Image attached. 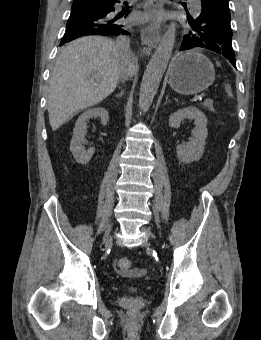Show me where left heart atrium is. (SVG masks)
<instances>
[{
    "label": "left heart atrium",
    "mask_w": 261,
    "mask_h": 340,
    "mask_svg": "<svg viewBox=\"0 0 261 340\" xmlns=\"http://www.w3.org/2000/svg\"><path fill=\"white\" fill-rule=\"evenodd\" d=\"M145 20L152 21L154 23H158L161 20V16L160 15H150V16L145 17Z\"/></svg>",
    "instance_id": "obj_1"
}]
</instances>
